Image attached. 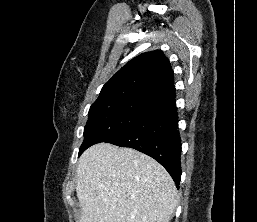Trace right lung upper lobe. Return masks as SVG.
Instances as JSON below:
<instances>
[{
  "label": "right lung upper lobe",
  "mask_w": 257,
  "mask_h": 222,
  "mask_svg": "<svg viewBox=\"0 0 257 222\" xmlns=\"http://www.w3.org/2000/svg\"><path fill=\"white\" fill-rule=\"evenodd\" d=\"M132 98L161 107L175 102L174 74L162 51L146 52L128 62L103 86L97 100Z\"/></svg>",
  "instance_id": "right-lung-upper-lobe-1"
}]
</instances>
